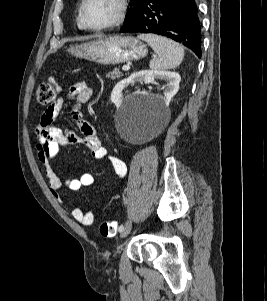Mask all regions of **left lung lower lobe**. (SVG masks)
I'll return each mask as SVG.
<instances>
[{
  "instance_id": "obj_1",
  "label": "left lung lower lobe",
  "mask_w": 267,
  "mask_h": 301,
  "mask_svg": "<svg viewBox=\"0 0 267 301\" xmlns=\"http://www.w3.org/2000/svg\"><path fill=\"white\" fill-rule=\"evenodd\" d=\"M201 26L195 0H145L137 17L121 27L123 33H152L169 37L201 57Z\"/></svg>"
}]
</instances>
